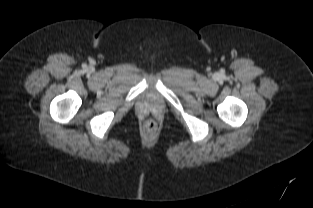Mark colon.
<instances>
[{
	"label": "colon",
	"mask_w": 313,
	"mask_h": 208,
	"mask_svg": "<svg viewBox=\"0 0 313 208\" xmlns=\"http://www.w3.org/2000/svg\"><path fill=\"white\" fill-rule=\"evenodd\" d=\"M144 129L147 133H154L157 130V123L154 120H148L144 125Z\"/></svg>",
	"instance_id": "obj_1"
}]
</instances>
